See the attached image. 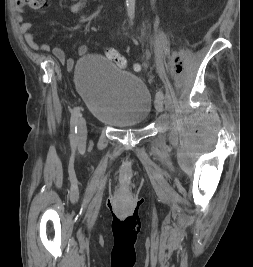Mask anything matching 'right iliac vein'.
<instances>
[{"label": "right iliac vein", "mask_w": 253, "mask_h": 267, "mask_svg": "<svg viewBox=\"0 0 253 267\" xmlns=\"http://www.w3.org/2000/svg\"><path fill=\"white\" fill-rule=\"evenodd\" d=\"M78 136L79 142L84 143L87 137V127L84 118H81L78 122Z\"/></svg>", "instance_id": "obj_1"}]
</instances>
